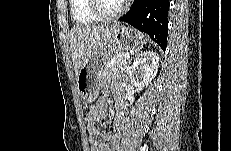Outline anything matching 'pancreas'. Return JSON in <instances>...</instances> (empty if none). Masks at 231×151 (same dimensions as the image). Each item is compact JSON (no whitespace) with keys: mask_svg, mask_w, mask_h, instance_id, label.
Segmentation results:
<instances>
[{"mask_svg":"<svg viewBox=\"0 0 231 151\" xmlns=\"http://www.w3.org/2000/svg\"><path fill=\"white\" fill-rule=\"evenodd\" d=\"M127 69L128 59L123 57V53L116 54L112 56L111 59L107 62V64L101 71V76L120 73L122 71H127Z\"/></svg>","mask_w":231,"mask_h":151,"instance_id":"1","label":"pancreas"}]
</instances>
